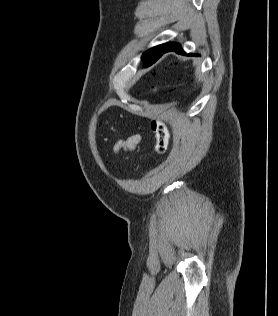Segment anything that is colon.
<instances>
[{"instance_id": "1", "label": "colon", "mask_w": 278, "mask_h": 316, "mask_svg": "<svg viewBox=\"0 0 278 316\" xmlns=\"http://www.w3.org/2000/svg\"><path fill=\"white\" fill-rule=\"evenodd\" d=\"M150 125L156 138L155 151L159 155L163 154L165 153L167 149V145H168V140H169L168 130L166 126L158 120H152Z\"/></svg>"}]
</instances>
